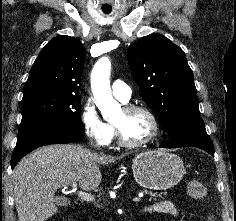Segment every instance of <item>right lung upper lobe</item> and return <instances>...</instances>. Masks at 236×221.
Returning a JSON list of instances; mask_svg holds the SVG:
<instances>
[{
  "label": "right lung upper lobe",
  "mask_w": 236,
  "mask_h": 221,
  "mask_svg": "<svg viewBox=\"0 0 236 221\" xmlns=\"http://www.w3.org/2000/svg\"><path fill=\"white\" fill-rule=\"evenodd\" d=\"M85 50L74 37H54L39 53L24 87V94L51 91L78 94Z\"/></svg>",
  "instance_id": "cb5924a9"
}]
</instances>
